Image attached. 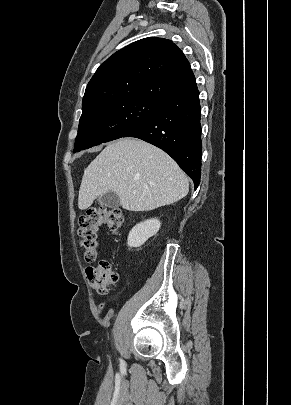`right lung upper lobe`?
<instances>
[{"mask_svg": "<svg viewBox=\"0 0 291 405\" xmlns=\"http://www.w3.org/2000/svg\"><path fill=\"white\" fill-rule=\"evenodd\" d=\"M195 83L188 60L172 41L145 38L117 51L99 66L86 87L82 109L125 98L163 102Z\"/></svg>", "mask_w": 291, "mask_h": 405, "instance_id": "right-lung-upper-lobe-1", "label": "right lung upper lobe"}]
</instances>
